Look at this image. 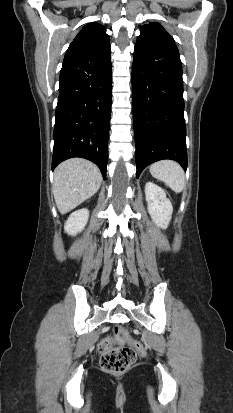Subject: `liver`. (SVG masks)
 <instances>
[{
  "instance_id": "obj_1",
  "label": "liver",
  "mask_w": 233,
  "mask_h": 413,
  "mask_svg": "<svg viewBox=\"0 0 233 413\" xmlns=\"http://www.w3.org/2000/svg\"><path fill=\"white\" fill-rule=\"evenodd\" d=\"M99 168L82 158H72L58 165L54 173L52 193L61 214L73 210L100 188Z\"/></svg>"
}]
</instances>
